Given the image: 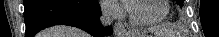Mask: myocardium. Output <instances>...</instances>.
Here are the masks:
<instances>
[{"label":"myocardium","instance_id":"f54148a6","mask_svg":"<svg viewBox=\"0 0 219 37\" xmlns=\"http://www.w3.org/2000/svg\"><path fill=\"white\" fill-rule=\"evenodd\" d=\"M136 1H141V0H131L127 3V6H126L129 20H130L131 24L134 25V26H137V27H154V26H157V25L161 24L167 18V16L169 15L170 3H169L168 0H163L162 4H163V7H164V12L162 13V15L159 18L154 19V20H140V19H137L131 11L132 2H136Z\"/></svg>","mask_w":219,"mask_h":37}]
</instances>
